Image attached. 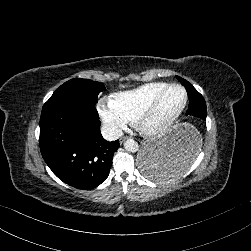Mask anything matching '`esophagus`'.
Wrapping results in <instances>:
<instances>
[{
	"label": "esophagus",
	"instance_id": "1",
	"mask_svg": "<svg viewBox=\"0 0 251 251\" xmlns=\"http://www.w3.org/2000/svg\"><path fill=\"white\" fill-rule=\"evenodd\" d=\"M128 136H124L122 138L119 139L120 144H122L126 139H128Z\"/></svg>",
	"mask_w": 251,
	"mask_h": 251
}]
</instances>
